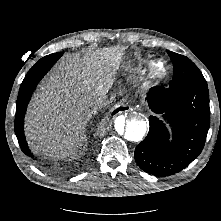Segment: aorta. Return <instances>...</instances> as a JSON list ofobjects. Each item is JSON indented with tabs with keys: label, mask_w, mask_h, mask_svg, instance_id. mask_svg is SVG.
<instances>
[{
	"label": "aorta",
	"mask_w": 221,
	"mask_h": 221,
	"mask_svg": "<svg viewBox=\"0 0 221 221\" xmlns=\"http://www.w3.org/2000/svg\"><path fill=\"white\" fill-rule=\"evenodd\" d=\"M113 130L123 141L139 142L147 131V121L138 114L120 115L114 120Z\"/></svg>",
	"instance_id": "762f6f07"
}]
</instances>
